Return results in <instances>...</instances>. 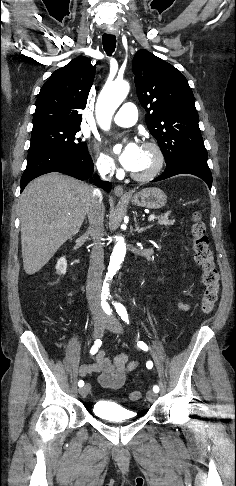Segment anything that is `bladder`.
I'll list each match as a JSON object with an SVG mask.
<instances>
[{
    "mask_svg": "<svg viewBox=\"0 0 236 486\" xmlns=\"http://www.w3.org/2000/svg\"><path fill=\"white\" fill-rule=\"evenodd\" d=\"M93 413L100 419L111 422H130L136 413L114 402L100 400L93 405Z\"/></svg>",
    "mask_w": 236,
    "mask_h": 486,
    "instance_id": "31cf9c89",
    "label": "bladder"
}]
</instances>
